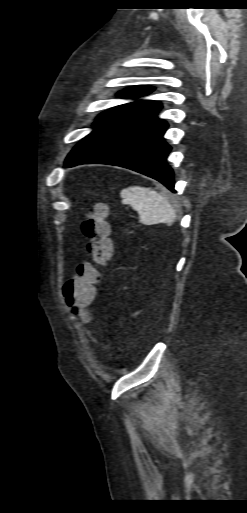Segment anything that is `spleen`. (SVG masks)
Instances as JSON below:
<instances>
[{
    "mask_svg": "<svg viewBox=\"0 0 247 513\" xmlns=\"http://www.w3.org/2000/svg\"><path fill=\"white\" fill-rule=\"evenodd\" d=\"M123 204H129L139 214L140 222L155 224L172 222L176 217L170 202L155 190L143 186H130L120 193Z\"/></svg>",
    "mask_w": 247,
    "mask_h": 513,
    "instance_id": "1",
    "label": "spleen"
}]
</instances>
